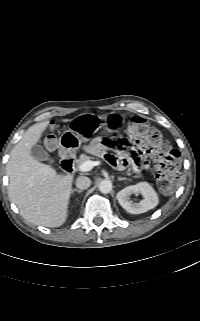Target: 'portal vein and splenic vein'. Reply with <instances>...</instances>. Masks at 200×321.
I'll return each instance as SVG.
<instances>
[{
  "instance_id": "18ae733b",
  "label": "portal vein and splenic vein",
  "mask_w": 200,
  "mask_h": 321,
  "mask_svg": "<svg viewBox=\"0 0 200 321\" xmlns=\"http://www.w3.org/2000/svg\"><path fill=\"white\" fill-rule=\"evenodd\" d=\"M97 165H100V161H85L79 165V170L82 172H88Z\"/></svg>"
}]
</instances>
